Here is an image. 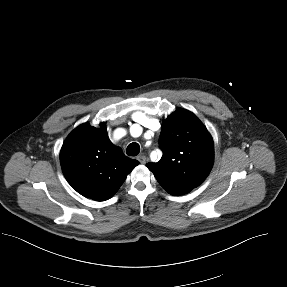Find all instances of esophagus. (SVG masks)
Instances as JSON below:
<instances>
[{
  "mask_svg": "<svg viewBox=\"0 0 287 287\" xmlns=\"http://www.w3.org/2000/svg\"><path fill=\"white\" fill-rule=\"evenodd\" d=\"M137 159L141 164L146 163V157L143 154L139 155Z\"/></svg>",
  "mask_w": 287,
  "mask_h": 287,
  "instance_id": "obj_1",
  "label": "esophagus"
}]
</instances>
